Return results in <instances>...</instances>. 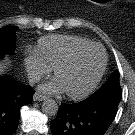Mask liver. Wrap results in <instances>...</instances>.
<instances>
[{"label":"liver","instance_id":"liver-1","mask_svg":"<svg viewBox=\"0 0 135 135\" xmlns=\"http://www.w3.org/2000/svg\"><path fill=\"white\" fill-rule=\"evenodd\" d=\"M4 67H5L4 66V63L3 62H0V74L2 73Z\"/></svg>","mask_w":135,"mask_h":135}]
</instances>
